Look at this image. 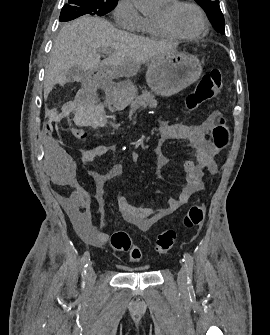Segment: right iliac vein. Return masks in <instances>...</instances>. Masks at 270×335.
Segmentation results:
<instances>
[{"label":"right iliac vein","mask_w":270,"mask_h":335,"mask_svg":"<svg viewBox=\"0 0 270 335\" xmlns=\"http://www.w3.org/2000/svg\"><path fill=\"white\" fill-rule=\"evenodd\" d=\"M95 279H96L95 271L93 269V266L89 264L87 272V283L90 287L94 285Z\"/></svg>","instance_id":"right-iliac-vein-1"}]
</instances>
